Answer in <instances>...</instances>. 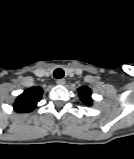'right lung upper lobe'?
I'll list each match as a JSON object with an SVG mask.
<instances>
[{"mask_svg": "<svg viewBox=\"0 0 134 159\" xmlns=\"http://www.w3.org/2000/svg\"><path fill=\"white\" fill-rule=\"evenodd\" d=\"M42 96V89L32 87L26 89L16 100L15 107L19 112H29L35 108Z\"/></svg>", "mask_w": 134, "mask_h": 159, "instance_id": "right-lung-upper-lobe-1", "label": "right lung upper lobe"}]
</instances>
